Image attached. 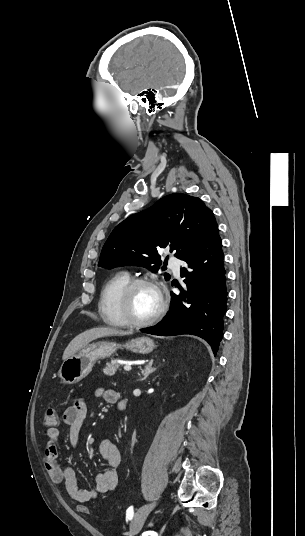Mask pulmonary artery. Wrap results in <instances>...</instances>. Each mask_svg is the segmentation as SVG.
I'll return each mask as SVG.
<instances>
[{
  "label": "pulmonary artery",
  "mask_w": 305,
  "mask_h": 536,
  "mask_svg": "<svg viewBox=\"0 0 305 536\" xmlns=\"http://www.w3.org/2000/svg\"><path fill=\"white\" fill-rule=\"evenodd\" d=\"M169 265L173 269L175 275L179 276L180 275V269H181L180 261L175 260V257H172V260L169 261Z\"/></svg>",
  "instance_id": "e3ab8cb5"
}]
</instances>
